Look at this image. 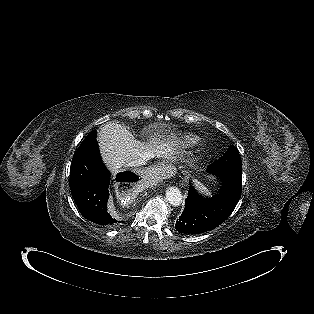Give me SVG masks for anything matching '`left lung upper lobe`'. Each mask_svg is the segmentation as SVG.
Here are the masks:
<instances>
[{
  "instance_id": "1",
  "label": "left lung upper lobe",
  "mask_w": 314,
  "mask_h": 314,
  "mask_svg": "<svg viewBox=\"0 0 314 314\" xmlns=\"http://www.w3.org/2000/svg\"><path fill=\"white\" fill-rule=\"evenodd\" d=\"M209 168L213 170H241L242 163L237 148L233 145L230 146L225 154L211 164Z\"/></svg>"
}]
</instances>
